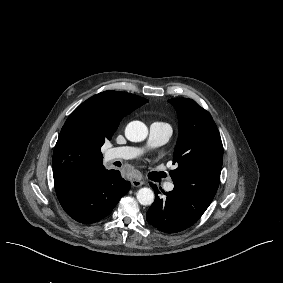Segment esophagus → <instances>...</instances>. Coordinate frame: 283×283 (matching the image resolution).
Masks as SVG:
<instances>
[{"label":"esophagus","instance_id":"esophagus-1","mask_svg":"<svg viewBox=\"0 0 283 283\" xmlns=\"http://www.w3.org/2000/svg\"><path fill=\"white\" fill-rule=\"evenodd\" d=\"M131 184L134 186V187H140L144 184L143 181L141 180H136V179H133L131 180Z\"/></svg>","mask_w":283,"mask_h":283}]
</instances>
